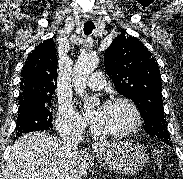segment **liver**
<instances>
[{
  "label": "liver",
  "instance_id": "liver-1",
  "mask_svg": "<svg viewBox=\"0 0 183 179\" xmlns=\"http://www.w3.org/2000/svg\"><path fill=\"white\" fill-rule=\"evenodd\" d=\"M88 157L75 161L63 141L45 132H31L17 139L6 161L3 179H83Z\"/></svg>",
  "mask_w": 183,
  "mask_h": 179
}]
</instances>
